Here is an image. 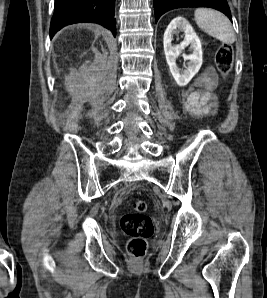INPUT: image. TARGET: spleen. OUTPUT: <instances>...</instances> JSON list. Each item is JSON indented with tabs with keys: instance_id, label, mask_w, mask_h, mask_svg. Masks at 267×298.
Instances as JSON below:
<instances>
[{
	"instance_id": "3e777b00",
	"label": "spleen",
	"mask_w": 267,
	"mask_h": 298,
	"mask_svg": "<svg viewBox=\"0 0 267 298\" xmlns=\"http://www.w3.org/2000/svg\"><path fill=\"white\" fill-rule=\"evenodd\" d=\"M198 27L225 44L235 42L236 36L229 19L219 11L198 8L194 13Z\"/></svg>"
}]
</instances>
